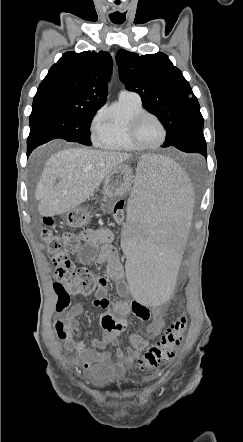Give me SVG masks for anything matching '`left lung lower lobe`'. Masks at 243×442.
Instances as JSON below:
<instances>
[{
    "instance_id": "obj_1",
    "label": "left lung lower lobe",
    "mask_w": 243,
    "mask_h": 442,
    "mask_svg": "<svg viewBox=\"0 0 243 442\" xmlns=\"http://www.w3.org/2000/svg\"><path fill=\"white\" fill-rule=\"evenodd\" d=\"M177 149L188 153H200L206 157V142L203 135V129H198L180 142L173 145Z\"/></svg>"
}]
</instances>
